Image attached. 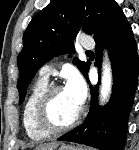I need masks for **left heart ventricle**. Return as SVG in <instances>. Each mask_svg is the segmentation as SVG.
Masks as SVG:
<instances>
[{
    "instance_id": "1",
    "label": "left heart ventricle",
    "mask_w": 139,
    "mask_h": 150,
    "mask_svg": "<svg viewBox=\"0 0 139 150\" xmlns=\"http://www.w3.org/2000/svg\"><path fill=\"white\" fill-rule=\"evenodd\" d=\"M80 107L65 88L61 89L54 93L50 100L48 118L55 125H66L75 118Z\"/></svg>"
}]
</instances>
